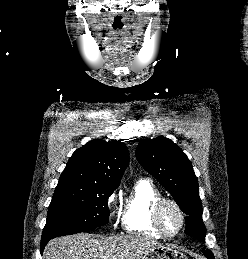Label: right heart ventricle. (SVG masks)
<instances>
[{
	"label": "right heart ventricle",
	"instance_id": "right-heart-ventricle-1",
	"mask_svg": "<svg viewBox=\"0 0 248 259\" xmlns=\"http://www.w3.org/2000/svg\"><path fill=\"white\" fill-rule=\"evenodd\" d=\"M162 197L159 189L148 179H139L124 201L122 226L130 233L143 234L155 238L162 235L152 222L154 203Z\"/></svg>",
	"mask_w": 248,
	"mask_h": 259
}]
</instances>
